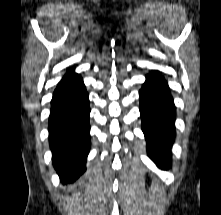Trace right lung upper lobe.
Instances as JSON below:
<instances>
[{
	"mask_svg": "<svg viewBox=\"0 0 221 215\" xmlns=\"http://www.w3.org/2000/svg\"><path fill=\"white\" fill-rule=\"evenodd\" d=\"M73 71H74L73 69H70L69 71H67V73L64 77H67V76L73 74L74 73Z\"/></svg>",
	"mask_w": 221,
	"mask_h": 215,
	"instance_id": "right-lung-upper-lobe-1",
	"label": "right lung upper lobe"
}]
</instances>
